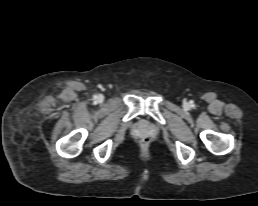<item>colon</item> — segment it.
Listing matches in <instances>:
<instances>
[{
    "mask_svg": "<svg viewBox=\"0 0 258 206\" xmlns=\"http://www.w3.org/2000/svg\"><path fill=\"white\" fill-rule=\"evenodd\" d=\"M141 145H142V147H144V148L148 147V145H149V139H148V138L142 139V140H141Z\"/></svg>",
    "mask_w": 258,
    "mask_h": 206,
    "instance_id": "colon-1",
    "label": "colon"
}]
</instances>
